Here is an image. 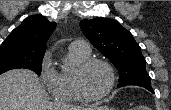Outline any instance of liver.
<instances>
[{
  "mask_svg": "<svg viewBox=\"0 0 171 110\" xmlns=\"http://www.w3.org/2000/svg\"><path fill=\"white\" fill-rule=\"evenodd\" d=\"M0 110L89 109L49 102L43 83L33 71L15 69L0 75Z\"/></svg>",
  "mask_w": 171,
  "mask_h": 110,
  "instance_id": "obj_1",
  "label": "liver"
}]
</instances>
